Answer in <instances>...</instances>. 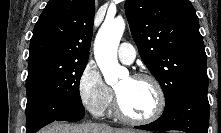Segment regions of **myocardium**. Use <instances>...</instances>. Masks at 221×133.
Segmentation results:
<instances>
[{
	"mask_svg": "<svg viewBox=\"0 0 221 133\" xmlns=\"http://www.w3.org/2000/svg\"><path fill=\"white\" fill-rule=\"evenodd\" d=\"M130 78L133 80H145V81L150 82L153 85L155 92H156V96H157L156 108L151 115H149L145 118L131 117L123 111L119 95L115 91V113H116V116L120 120H122L126 123H129V124H133V125H146V124H150V123L156 121L157 119H159L161 117V115L163 114V112L165 110V106H166L165 92H164V89H163L161 83L159 82V80L156 77H154L150 74H146V73H136V74L131 75Z\"/></svg>",
	"mask_w": 221,
	"mask_h": 133,
	"instance_id": "1",
	"label": "myocardium"
}]
</instances>
